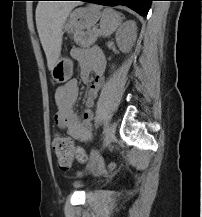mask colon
<instances>
[{
	"mask_svg": "<svg viewBox=\"0 0 202 217\" xmlns=\"http://www.w3.org/2000/svg\"><path fill=\"white\" fill-rule=\"evenodd\" d=\"M52 148L61 170H68L73 159L80 163L86 162V154L81 147H74L69 137L57 134L52 141ZM115 165L110 164L108 169L113 170Z\"/></svg>",
	"mask_w": 202,
	"mask_h": 217,
	"instance_id": "5ec220e1",
	"label": "colon"
}]
</instances>
